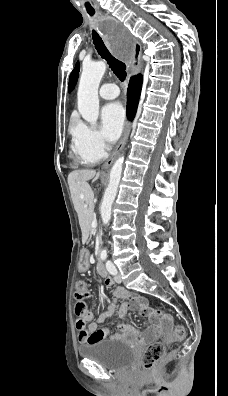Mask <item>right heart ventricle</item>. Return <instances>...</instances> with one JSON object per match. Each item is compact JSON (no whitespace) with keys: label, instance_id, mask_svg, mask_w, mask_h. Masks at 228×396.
<instances>
[{"label":"right heart ventricle","instance_id":"right-heart-ventricle-1","mask_svg":"<svg viewBox=\"0 0 228 396\" xmlns=\"http://www.w3.org/2000/svg\"><path fill=\"white\" fill-rule=\"evenodd\" d=\"M75 129V128H74ZM73 135H74V131H73ZM73 150L76 153L78 160L85 165H93L95 164L98 160L93 158L90 155L85 154L84 152H82L80 150V148L78 147L76 140L74 138V144H73Z\"/></svg>","mask_w":228,"mask_h":396}]
</instances>
